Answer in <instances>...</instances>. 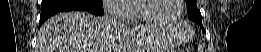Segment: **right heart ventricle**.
<instances>
[{
    "label": "right heart ventricle",
    "mask_w": 261,
    "mask_h": 52,
    "mask_svg": "<svg viewBox=\"0 0 261 52\" xmlns=\"http://www.w3.org/2000/svg\"><path fill=\"white\" fill-rule=\"evenodd\" d=\"M139 1H133L131 3H128L126 5L122 6V9L128 11V12H134L136 10L137 4ZM147 22V20L142 17L141 15H136L130 18V20L127 22V24H139Z\"/></svg>",
    "instance_id": "obj_1"
}]
</instances>
